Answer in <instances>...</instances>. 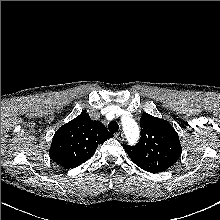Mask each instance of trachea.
<instances>
[{"mask_svg": "<svg viewBox=\"0 0 220 220\" xmlns=\"http://www.w3.org/2000/svg\"><path fill=\"white\" fill-rule=\"evenodd\" d=\"M108 129L110 132L114 133V132H117L118 129H119V125L117 122L115 121H112L108 124Z\"/></svg>", "mask_w": 220, "mask_h": 220, "instance_id": "obj_1", "label": "trachea"}]
</instances>
